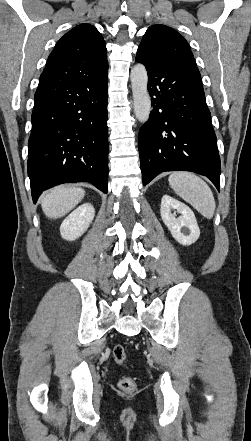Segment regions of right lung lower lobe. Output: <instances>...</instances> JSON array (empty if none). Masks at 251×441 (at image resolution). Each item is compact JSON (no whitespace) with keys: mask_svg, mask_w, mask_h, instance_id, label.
<instances>
[{"mask_svg":"<svg viewBox=\"0 0 251 441\" xmlns=\"http://www.w3.org/2000/svg\"><path fill=\"white\" fill-rule=\"evenodd\" d=\"M108 68L77 79L39 82L29 138L32 197L55 185L89 182L107 193Z\"/></svg>","mask_w":251,"mask_h":441,"instance_id":"98d812e1","label":"right lung lower lobe"}]
</instances>
